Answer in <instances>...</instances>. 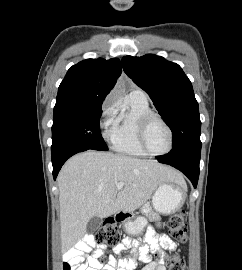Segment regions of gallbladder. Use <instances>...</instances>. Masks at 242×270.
I'll return each mask as SVG.
<instances>
[{
  "label": "gallbladder",
  "mask_w": 242,
  "mask_h": 270,
  "mask_svg": "<svg viewBox=\"0 0 242 270\" xmlns=\"http://www.w3.org/2000/svg\"><path fill=\"white\" fill-rule=\"evenodd\" d=\"M102 219L98 216L92 217L87 224V232H95L101 225Z\"/></svg>",
  "instance_id": "obj_1"
}]
</instances>
